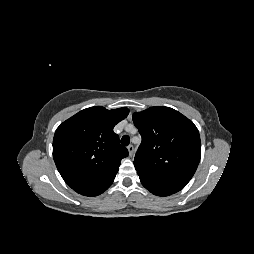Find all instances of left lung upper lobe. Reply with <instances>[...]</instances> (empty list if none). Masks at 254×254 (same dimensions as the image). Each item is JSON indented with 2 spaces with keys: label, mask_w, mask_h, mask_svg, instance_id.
Here are the masks:
<instances>
[{
  "label": "left lung upper lobe",
  "mask_w": 254,
  "mask_h": 254,
  "mask_svg": "<svg viewBox=\"0 0 254 254\" xmlns=\"http://www.w3.org/2000/svg\"><path fill=\"white\" fill-rule=\"evenodd\" d=\"M142 137L134 166L160 178L188 183L201 156L198 129L169 107H151L133 114Z\"/></svg>",
  "instance_id": "obj_1"
}]
</instances>
